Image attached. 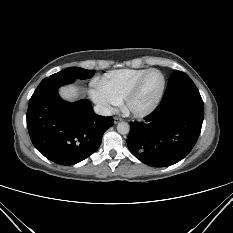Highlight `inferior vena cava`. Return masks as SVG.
I'll return each instance as SVG.
<instances>
[{
    "label": "inferior vena cava",
    "instance_id": "1",
    "mask_svg": "<svg viewBox=\"0 0 233 233\" xmlns=\"http://www.w3.org/2000/svg\"><path fill=\"white\" fill-rule=\"evenodd\" d=\"M94 111L96 114L102 115V116H111L112 114V111L110 108L102 106V105L94 106Z\"/></svg>",
    "mask_w": 233,
    "mask_h": 233
}]
</instances>
